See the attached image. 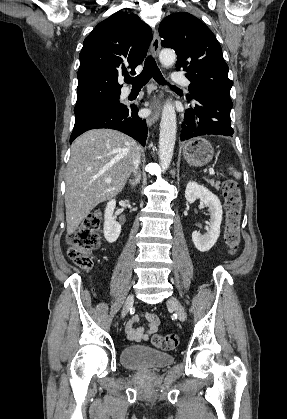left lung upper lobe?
<instances>
[{
	"instance_id": "1",
	"label": "left lung upper lobe",
	"mask_w": 287,
	"mask_h": 419,
	"mask_svg": "<svg viewBox=\"0 0 287 419\" xmlns=\"http://www.w3.org/2000/svg\"><path fill=\"white\" fill-rule=\"evenodd\" d=\"M159 34L162 46L175 50L177 70L187 72L191 82L187 99L199 92L230 95L233 82L228 78L221 46L202 21L189 13H174L162 20Z\"/></svg>"
}]
</instances>
